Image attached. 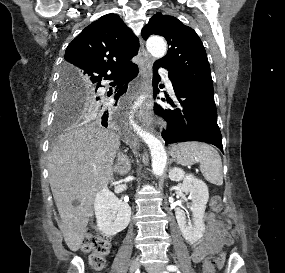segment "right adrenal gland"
<instances>
[{
	"instance_id": "2a0ac1e0",
	"label": "right adrenal gland",
	"mask_w": 285,
	"mask_h": 273,
	"mask_svg": "<svg viewBox=\"0 0 285 273\" xmlns=\"http://www.w3.org/2000/svg\"><path fill=\"white\" fill-rule=\"evenodd\" d=\"M118 163L114 166V171L120 175L126 174L130 171L131 165L126 155L122 152H118ZM123 165V166H121Z\"/></svg>"
}]
</instances>
